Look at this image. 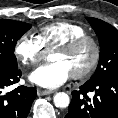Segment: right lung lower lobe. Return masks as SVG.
Instances as JSON below:
<instances>
[{
  "label": "right lung lower lobe",
  "mask_w": 118,
  "mask_h": 118,
  "mask_svg": "<svg viewBox=\"0 0 118 118\" xmlns=\"http://www.w3.org/2000/svg\"><path fill=\"white\" fill-rule=\"evenodd\" d=\"M21 77V71L0 70V118H26L32 102L37 96L34 87L18 86L4 93V88L15 84Z\"/></svg>",
  "instance_id": "right-lung-lower-lobe-1"
}]
</instances>
